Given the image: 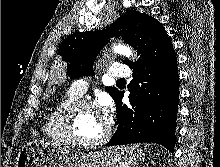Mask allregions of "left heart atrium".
<instances>
[{"label":"left heart atrium","instance_id":"left-heart-atrium-1","mask_svg":"<svg viewBox=\"0 0 220 167\" xmlns=\"http://www.w3.org/2000/svg\"><path fill=\"white\" fill-rule=\"evenodd\" d=\"M105 107H106V109L104 110V112L101 115L104 118V120L106 121V118H107V116H109L111 114V111L108 108L109 107L108 103H105Z\"/></svg>","mask_w":220,"mask_h":167}]
</instances>
